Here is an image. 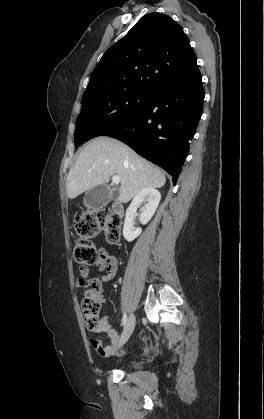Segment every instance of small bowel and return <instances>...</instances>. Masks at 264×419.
<instances>
[{"label":"small bowel","instance_id":"obj_1","mask_svg":"<svg viewBox=\"0 0 264 419\" xmlns=\"http://www.w3.org/2000/svg\"><path fill=\"white\" fill-rule=\"evenodd\" d=\"M99 275L92 277L88 266H81L78 269V277L76 279V286L79 288L89 287L87 290L96 292L102 299H104L103 283L112 280L118 271V261L115 254L102 247L98 251V259L96 262ZM95 333L104 332L108 336V344H103L99 339H91L90 344L92 348L101 357L108 358L117 354L121 348L120 340L117 331L109 324V317L103 316L99 321V328Z\"/></svg>","mask_w":264,"mask_h":419}]
</instances>
